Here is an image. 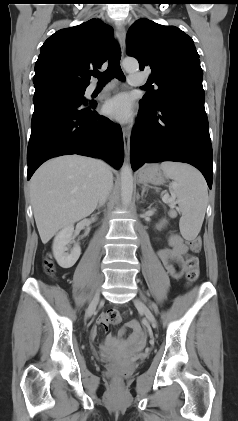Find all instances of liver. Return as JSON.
<instances>
[{
  "mask_svg": "<svg viewBox=\"0 0 238 421\" xmlns=\"http://www.w3.org/2000/svg\"><path fill=\"white\" fill-rule=\"evenodd\" d=\"M111 170V168H110ZM98 168L92 158L68 155L45 162L30 181L31 203L43 244L97 206Z\"/></svg>",
  "mask_w": 238,
  "mask_h": 421,
  "instance_id": "liver-1",
  "label": "liver"
}]
</instances>
